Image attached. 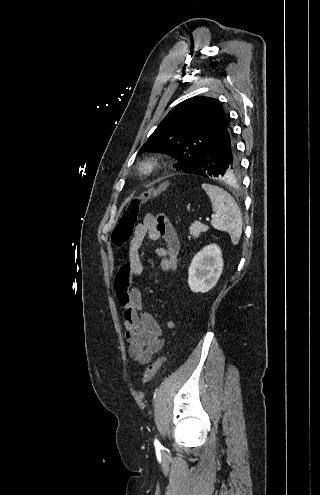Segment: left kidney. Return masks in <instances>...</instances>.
Here are the masks:
<instances>
[{"mask_svg": "<svg viewBox=\"0 0 320 495\" xmlns=\"http://www.w3.org/2000/svg\"><path fill=\"white\" fill-rule=\"evenodd\" d=\"M223 270L221 249L216 244L205 246L192 259L188 284L193 292H208L218 282Z\"/></svg>", "mask_w": 320, "mask_h": 495, "instance_id": "5707ae66", "label": "left kidney"}]
</instances>
